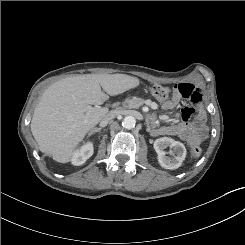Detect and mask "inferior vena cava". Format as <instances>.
Returning a JSON list of instances; mask_svg holds the SVG:
<instances>
[{"label":"inferior vena cava","mask_w":245,"mask_h":245,"mask_svg":"<svg viewBox=\"0 0 245 245\" xmlns=\"http://www.w3.org/2000/svg\"><path fill=\"white\" fill-rule=\"evenodd\" d=\"M115 117V114L113 112L108 113L101 121L100 126L104 127L108 124L109 121H111Z\"/></svg>","instance_id":"602c4592"}]
</instances>
